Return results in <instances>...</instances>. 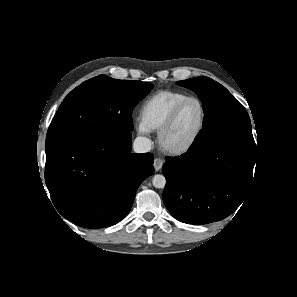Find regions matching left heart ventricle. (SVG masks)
<instances>
[{
	"label": "left heart ventricle",
	"mask_w": 297,
	"mask_h": 297,
	"mask_svg": "<svg viewBox=\"0 0 297 297\" xmlns=\"http://www.w3.org/2000/svg\"><path fill=\"white\" fill-rule=\"evenodd\" d=\"M201 108L197 102L188 103L165 137V144L171 148L185 145L195 134L201 121Z\"/></svg>",
	"instance_id": "b2bd125f"
}]
</instances>
